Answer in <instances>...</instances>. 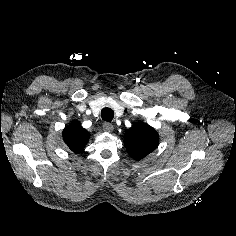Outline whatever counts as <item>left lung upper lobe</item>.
Returning <instances> with one entry per match:
<instances>
[{"instance_id": "5c2ea615", "label": "left lung upper lobe", "mask_w": 236, "mask_h": 236, "mask_svg": "<svg viewBox=\"0 0 236 236\" xmlns=\"http://www.w3.org/2000/svg\"><path fill=\"white\" fill-rule=\"evenodd\" d=\"M159 141L157 132L149 125L136 123L125 132L124 144L129 155L141 160L155 150Z\"/></svg>"}]
</instances>
